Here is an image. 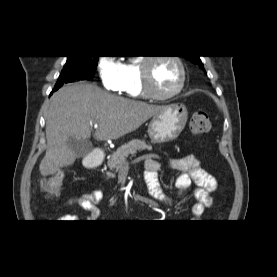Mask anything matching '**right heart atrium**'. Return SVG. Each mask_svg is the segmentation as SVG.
Instances as JSON below:
<instances>
[{"instance_id": "obj_1", "label": "right heart atrium", "mask_w": 277, "mask_h": 277, "mask_svg": "<svg viewBox=\"0 0 277 277\" xmlns=\"http://www.w3.org/2000/svg\"><path fill=\"white\" fill-rule=\"evenodd\" d=\"M97 68L103 87L109 91L120 92L124 86L123 64L113 56H101Z\"/></svg>"}]
</instances>
